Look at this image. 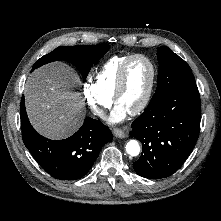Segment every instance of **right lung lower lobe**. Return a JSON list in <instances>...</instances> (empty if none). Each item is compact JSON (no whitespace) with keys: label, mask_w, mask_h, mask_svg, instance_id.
<instances>
[{"label":"right lung lower lobe","mask_w":221,"mask_h":221,"mask_svg":"<svg viewBox=\"0 0 221 221\" xmlns=\"http://www.w3.org/2000/svg\"><path fill=\"white\" fill-rule=\"evenodd\" d=\"M22 138L37 163L52 177L74 180L85 176L92 168L101 148L113 139L109 127L87 117L71 137L53 141L39 135L30 124L24 97L20 103Z\"/></svg>","instance_id":"right-lung-lower-lobe-1"}]
</instances>
